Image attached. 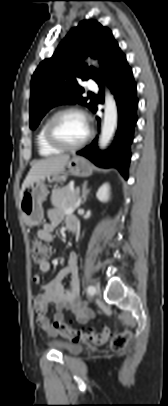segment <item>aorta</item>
Segmentation results:
<instances>
[{"instance_id": "aorta-1", "label": "aorta", "mask_w": 168, "mask_h": 406, "mask_svg": "<svg viewBox=\"0 0 168 406\" xmlns=\"http://www.w3.org/2000/svg\"><path fill=\"white\" fill-rule=\"evenodd\" d=\"M97 65L96 62H93ZM118 119L117 105L113 95L108 89L105 93V111H104V120L102 125L101 136L99 139V147L104 149L110 142L114 131L116 129Z\"/></svg>"}]
</instances>
